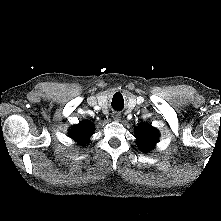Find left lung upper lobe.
I'll return each mask as SVG.
<instances>
[{"instance_id":"5c2ea615","label":"left lung upper lobe","mask_w":221,"mask_h":221,"mask_svg":"<svg viewBox=\"0 0 221 221\" xmlns=\"http://www.w3.org/2000/svg\"><path fill=\"white\" fill-rule=\"evenodd\" d=\"M136 143L142 151H149L158 142L159 133L151 125L137 126L135 128Z\"/></svg>"}]
</instances>
